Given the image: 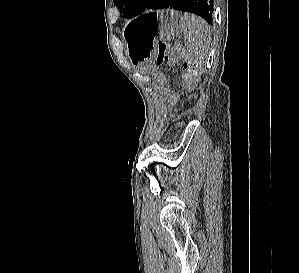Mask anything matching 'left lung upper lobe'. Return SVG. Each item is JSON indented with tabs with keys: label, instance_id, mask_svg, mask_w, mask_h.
<instances>
[{
	"label": "left lung upper lobe",
	"instance_id": "left-lung-upper-lobe-1",
	"mask_svg": "<svg viewBox=\"0 0 299 273\" xmlns=\"http://www.w3.org/2000/svg\"><path fill=\"white\" fill-rule=\"evenodd\" d=\"M118 8H123L127 18L137 16L146 10L149 0H113Z\"/></svg>",
	"mask_w": 299,
	"mask_h": 273
}]
</instances>
